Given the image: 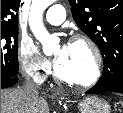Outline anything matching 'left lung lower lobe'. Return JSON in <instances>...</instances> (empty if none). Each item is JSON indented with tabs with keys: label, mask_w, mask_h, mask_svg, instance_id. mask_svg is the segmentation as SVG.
I'll return each instance as SVG.
<instances>
[{
	"label": "left lung lower lobe",
	"mask_w": 123,
	"mask_h": 113,
	"mask_svg": "<svg viewBox=\"0 0 123 113\" xmlns=\"http://www.w3.org/2000/svg\"><path fill=\"white\" fill-rule=\"evenodd\" d=\"M107 91L123 93V77L115 81L112 85H106L98 81L86 94H100Z\"/></svg>",
	"instance_id": "left-lung-lower-lobe-1"
}]
</instances>
